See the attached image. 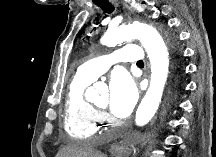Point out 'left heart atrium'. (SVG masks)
Segmentation results:
<instances>
[{
  "instance_id": "obj_1",
  "label": "left heart atrium",
  "mask_w": 216,
  "mask_h": 157,
  "mask_svg": "<svg viewBox=\"0 0 216 157\" xmlns=\"http://www.w3.org/2000/svg\"><path fill=\"white\" fill-rule=\"evenodd\" d=\"M138 100V89L134 80L124 71L112 74L109 83L108 104L117 117H127Z\"/></svg>"
}]
</instances>
